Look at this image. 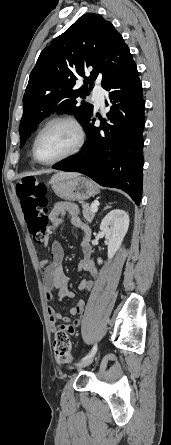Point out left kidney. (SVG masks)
<instances>
[{
	"label": "left kidney",
	"instance_id": "1",
	"mask_svg": "<svg viewBox=\"0 0 171 445\" xmlns=\"http://www.w3.org/2000/svg\"><path fill=\"white\" fill-rule=\"evenodd\" d=\"M129 216L124 210L115 209L110 211L102 220L100 230L108 241V258L111 259L119 250L122 241L128 231ZM98 258V263L102 264Z\"/></svg>",
	"mask_w": 171,
	"mask_h": 445
}]
</instances>
